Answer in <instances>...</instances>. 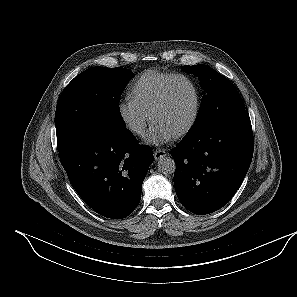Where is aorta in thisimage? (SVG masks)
Segmentation results:
<instances>
[{
    "label": "aorta",
    "mask_w": 297,
    "mask_h": 297,
    "mask_svg": "<svg viewBox=\"0 0 297 297\" xmlns=\"http://www.w3.org/2000/svg\"><path fill=\"white\" fill-rule=\"evenodd\" d=\"M158 171L164 175L172 174L175 172V162L172 158L163 156L157 163Z\"/></svg>",
    "instance_id": "762f6f07"
}]
</instances>
